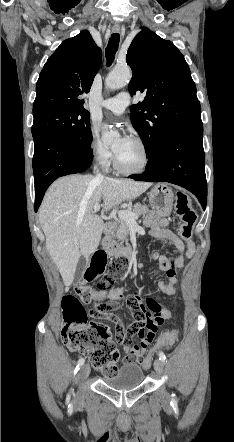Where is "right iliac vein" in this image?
Here are the masks:
<instances>
[{
	"mask_svg": "<svg viewBox=\"0 0 234 442\" xmlns=\"http://www.w3.org/2000/svg\"><path fill=\"white\" fill-rule=\"evenodd\" d=\"M89 374H90V367L88 364H84L80 370L81 385L79 387L78 396H80L82 394V388H83L82 383L84 380H86L88 378Z\"/></svg>",
	"mask_w": 234,
	"mask_h": 442,
	"instance_id": "63e3f726",
	"label": "right iliac vein"
}]
</instances>
